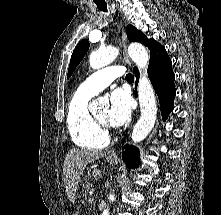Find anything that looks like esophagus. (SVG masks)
<instances>
[{"label":"esophagus","instance_id":"obj_1","mask_svg":"<svg viewBox=\"0 0 221 215\" xmlns=\"http://www.w3.org/2000/svg\"><path fill=\"white\" fill-rule=\"evenodd\" d=\"M123 26V24L121 23ZM122 42H123V56H124V61L130 66L131 61L127 53V39L124 30H122ZM109 157H116V150L112 149L108 152L107 154Z\"/></svg>","mask_w":221,"mask_h":215}]
</instances>
